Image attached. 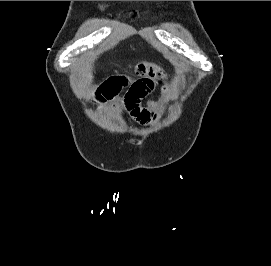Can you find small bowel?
I'll use <instances>...</instances> for the list:
<instances>
[{
    "label": "small bowel",
    "mask_w": 271,
    "mask_h": 266,
    "mask_svg": "<svg viewBox=\"0 0 271 266\" xmlns=\"http://www.w3.org/2000/svg\"><path fill=\"white\" fill-rule=\"evenodd\" d=\"M154 86L153 80L149 77L130 82L123 76L113 75L96 87L93 98L97 103H106L114 99L122 88L127 87L119 111L128 114L139 124L145 125L157 116L155 101L149 100L147 106L142 105V100L151 94Z\"/></svg>",
    "instance_id": "c3829d8e"
}]
</instances>
